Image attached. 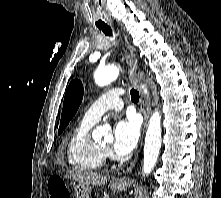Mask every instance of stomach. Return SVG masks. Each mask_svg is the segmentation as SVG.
Instances as JSON below:
<instances>
[{"label":"stomach","instance_id":"0dacf381","mask_svg":"<svg viewBox=\"0 0 221 198\" xmlns=\"http://www.w3.org/2000/svg\"><path fill=\"white\" fill-rule=\"evenodd\" d=\"M126 186L127 182H121V183H112L110 187L114 192H121L126 188ZM74 195L75 198H90L91 196L90 185L79 182L74 187Z\"/></svg>","mask_w":221,"mask_h":198}]
</instances>
